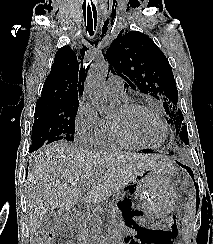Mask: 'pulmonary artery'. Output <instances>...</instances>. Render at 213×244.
Listing matches in <instances>:
<instances>
[{
  "mask_svg": "<svg viewBox=\"0 0 213 244\" xmlns=\"http://www.w3.org/2000/svg\"><path fill=\"white\" fill-rule=\"evenodd\" d=\"M106 89L109 93L119 96L123 99H127L123 81L118 75H111L106 82Z\"/></svg>",
  "mask_w": 213,
  "mask_h": 244,
  "instance_id": "1",
  "label": "pulmonary artery"
}]
</instances>
